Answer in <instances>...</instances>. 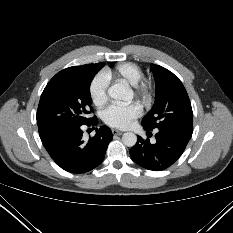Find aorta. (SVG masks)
<instances>
[{
  "label": "aorta",
  "instance_id": "obj_1",
  "mask_svg": "<svg viewBox=\"0 0 233 233\" xmlns=\"http://www.w3.org/2000/svg\"><path fill=\"white\" fill-rule=\"evenodd\" d=\"M108 94L115 100L131 101L133 98V91L124 83L118 82L108 89ZM122 142L128 147H132L137 142V136L132 132H126L122 136Z\"/></svg>",
  "mask_w": 233,
  "mask_h": 233
}]
</instances>
